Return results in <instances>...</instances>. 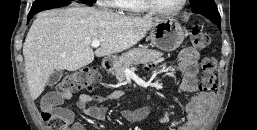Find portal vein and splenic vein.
I'll list each match as a JSON object with an SVG mask.
<instances>
[{"label": "portal vein and splenic vein", "mask_w": 257, "mask_h": 130, "mask_svg": "<svg viewBox=\"0 0 257 130\" xmlns=\"http://www.w3.org/2000/svg\"><path fill=\"white\" fill-rule=\"evenodd\" d=\"M101 42H102V40H94V41H92L91 46H92L93 48H97V47L100 46ZM125 72H126V73H131L132 71H131L130 69H126Z\"/></svg>", "instance_id": "18ae733b"}]
</instances>
